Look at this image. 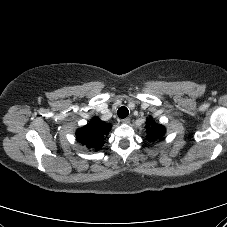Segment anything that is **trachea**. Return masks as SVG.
<instances>
[{"label":"trachea","mask_w":227,"mask_h":227,"mask_svg":"<svg viewBox=\"0 0 227 227\" xmlns=\"http://www.w3.org/2000/svg\"><path fill=\"white\" fill-rule=\"evenodd\" d=\"M117 115L119 118H126L129 115V111L125 106H122L118 109Z\"/></svg>","instance_id":"1"}]
</instances>
